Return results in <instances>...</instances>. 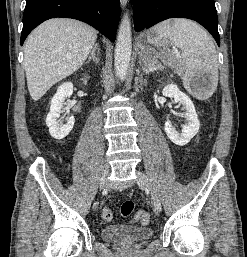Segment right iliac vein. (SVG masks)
I'll return each instance as SVG.
<instances>
[{
	"label": "right iliac vein",
	"mask_w": 247,
	"mask_h": 257,
	"mask_svg": "<svg viewBox=\"0 0 247 257\" xmlns=\"http://www.w3.org/2000/svg\"><path fill=\"white\" fill-rule=\"evenodd\" d=\"M108 172H109V166H108V164H106L104 166L102 177L100 180V188L101 189H103L105 187V181H106V176L108 175Z\"/></svg>",
	"instance_id": "1"
}]
</instances>
